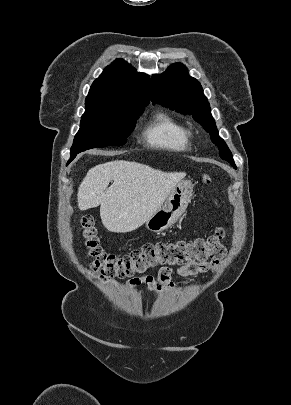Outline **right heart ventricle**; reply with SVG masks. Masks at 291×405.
Returning a JSON list of instances; mask_svg holds the SVG:
<instances>
[{
  "instance_id": "e07e8e85",
  "label": "right heart ventricle",
  "mask_w": 291,
  "mask_h": 405,
  "mask_svg": "<svg viewBox=\"0 0 291 405\" xmlns=\"http://www.w3.org/2000/svg\"><path fill=\"white\" fill-rule=\"evenodd\" d=\"M147 142L156 148L182 152L191 148L192 134L178 119L166 112L156 113L144 129Z\"/></svg>"
}]
</instances>
